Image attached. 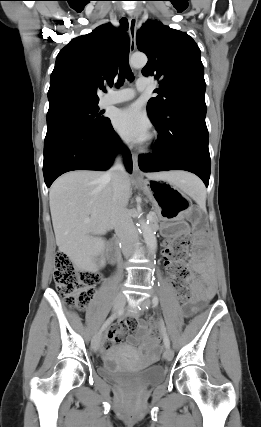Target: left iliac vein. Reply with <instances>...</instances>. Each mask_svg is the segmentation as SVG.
I'll return each instance as SVG.
<instances>
[{
    "instance_id": "1",
    "label": "left iliac vein",
    "mask_w": 261,
    "mask_h": 427,
    "mask_svg": "<svg viewBox=\"0 0 261 427\" xmlns=\"http://www.w3.org/2000/svg\"><path fill=\"white\" fill-rule=\"evenodd\" d=\"M139 305H140V307H141V310H146L147 309V307H149L150 305H151V301H150V299H148V298H146V299H144V300H142L140 303H139ZM173 355H174V353H173V350L172 349H170V348H166V350H165V352H164V354H163V357L166 359V360H171L172 358H173Z\"/></svg>"
}]
</instances>
